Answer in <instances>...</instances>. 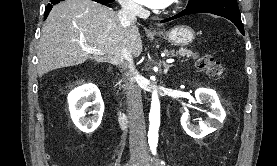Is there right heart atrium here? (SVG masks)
I'll list each match as a JSON object with an SVG mask.
<instances>
[{
  "label": "right heart atrium",
  "instance_id": "1",
  "mask_svg": "<svg viewBox=\"0 0 277 166\" xmlns=\"http://www.w3.org/2000/svg\"><path fill=\"white\" fill-rule=\"evenodd\" d=\"M123 10L130 13H139L140 6L136 3V0H117Z\"/></svg>",
  "mask_w": 277,
  "mask_h": 166
}]
</instances>
